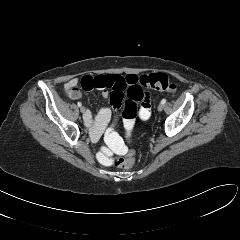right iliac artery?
Returning a JSON list of instances; mask_svg holds the SVG:
<instances>
[{
  "label": "right iliac artery",
  "mask_w": 240,
  "mask_h": 240,
  "mask_svg": "<svg viewBox=\"0 0 240 240\" xmlns=\"http://www.w3.org/2000/svg\"><path fill=\"white\" fill-rule=\"evenodd\" d=\"M77 105H78L79 107H81V106H82V103H81V102H78Z\"/></svg>",
  "instance_id": "obj_1"
}]
</instances>
